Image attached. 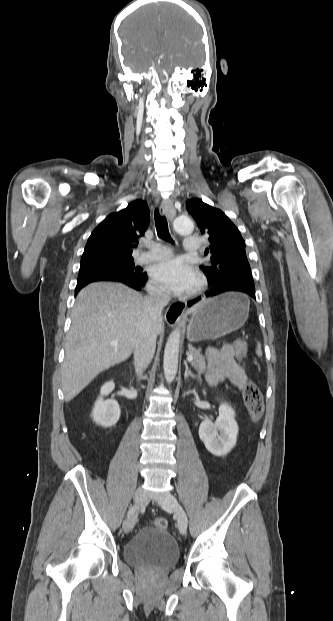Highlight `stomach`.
I'll return each instance as SVG.
<instances>
[{"instance_id":"0dacf381","label":"stomach","mask_w":333,"mask_h":621,"mask_svg":"<svg viewBox=\"0 0 333 621\" xmlns=\"http://www.w3.org/2000/svg\"><path fill=\"white\" fill-rule=\"evenodd\" d=\"M249 304L245 295L227 292L204 300L192 313L187 327L190 342L215 340L244 325Z\"/></svg>"}]
</instances>
